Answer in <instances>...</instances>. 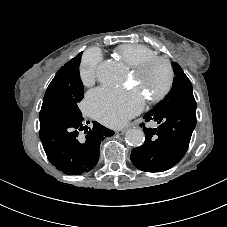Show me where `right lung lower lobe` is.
I'll list each match as a JSON object with an SVG mask.
<instances>
[{
	"instance_id": "1",
	"label": "right lung lower lobe",
	"mask_w": 227,
	"mask_h": 227,
	"mask_svg": "<svg viewBox=\"0 0 227 227\" xmlns=\"http://www.w3.org/2000/svg\"><path fill=\"white\" fill-rule=\"evenodd\" d=\"M82 120H56L39 131L48 160L64 174L80 175L92 170L99 160L101 141L114 134L96 121L88 130ZM83 130L84 137L80 135Z\"/></svg>"
}]
</instances>
